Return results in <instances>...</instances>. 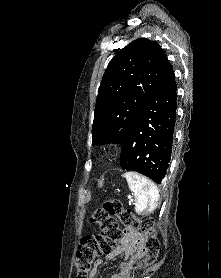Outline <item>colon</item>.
I'll return each mask as SVG.
<instances>
[{
	"instance_id": "1",
	"label": "colon",
	"mask_w": 221,
	"mask_h": 278,
	"mask_svg": "<svg viewBox=\"0 0 221 278\" xmlns=\"http://www.w3.org/2000/svg\"><path fill=\"white\" fill-rule=\"evenodd\" d=\"M115 217L125 227L144 234V258L138 261L137 268L143 269L156 259L160 243L156 236L154 219L151 216L136 217L129 209L124 208L119 200L108 199L93 211L90 218L91 222L100 228V234L83 237L76 251L78 278H87L95 257L110 253L120 239L121 232Z\"/></svg>"
}]
</instances>
